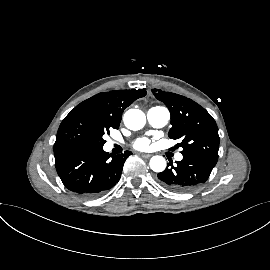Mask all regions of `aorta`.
Here are the masks:
<instances>
[{
  "mask_svg": "<svg viewBox=\"0 0 270 270\" xmlns=\"http://www.w3.org/2000/svg\"><path fill=\"white\" fill-rule=\"evenodd\" d=\"M125 126L130 130H140L146 123L144 112L139 109H129L123 116ZM154 172H162L166 167V160L162 156H153L149 162Z\"/></svg>",
  "mask_w": 270,
  "mask_h": 270,
  "instance_id": "obj_1",
  "label": "aorta"
}]
</instances>
